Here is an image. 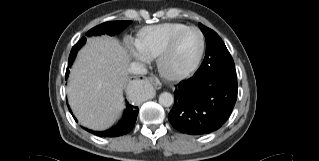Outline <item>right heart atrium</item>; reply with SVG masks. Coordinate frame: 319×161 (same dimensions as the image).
I'll return each instance as SVG.
<instances>
[{
  "instance_id": "obj_1",
  "label": "right heart atrium",
  "mask_w": 319,
  "mask_h": 161,
  "mask_svg": "<svg viewBox=\"0 0 319 161\" xmlns=\"http://www.w3.org/2000/svg\"><path fill=\"white\" fill-rule=\"evenodd\" d=\"M133 56L135 57V58H137V59H140V60H145V58H143L140 54H138V53H133Z\"/></svg>"
}]
</instances>
